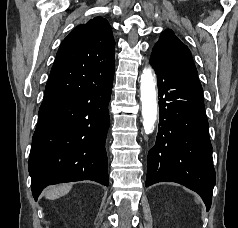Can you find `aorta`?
I'll return each instance as SVG.
<instances>
[{
	"instance_id": "762f6f07",
	"label": "aorta",
	"mask_w": 238,
	"mask_h": 228,
	"mask_svg": "<svg viewBox=\"0 0 238 228\" xmlns=\"http://www.w3.org/2000/svg\"><path fill=\"white\" fill-rule=\"evenodd\" d=\"M156 80L150 67L143 70L140 80V100L145 132L150 134L157 120Z\"/></svg>"
}]
</instances>
